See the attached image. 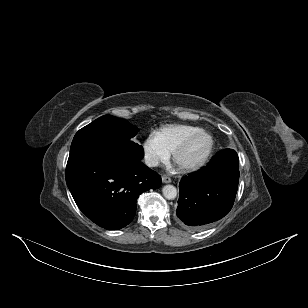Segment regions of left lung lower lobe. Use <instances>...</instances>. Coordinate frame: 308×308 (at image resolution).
Instances as JSON below:
<instances>
[{
  "label": "left lung lower lobe",
  "mask_w": 308,
  "mask_h": 308,
  "mask_svg": "<svg viewBox=\"0 0 308 308\" xmlns=\"http://www.w3.org/2000/svg\"><path fill=\"white\" fill-rule=\"evenodd\" d=\"M238 165L237 153L225 149L205 168L181 180L176 214L182 226L201 230L228 214L237 193Z\"/></svg>",
  "instance_id": "0a47b994"
}]
</instances>
